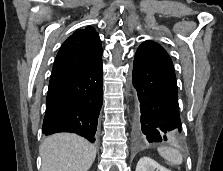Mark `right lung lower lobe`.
<instances>
[{
	"label": "right lung lower lobe",
	"instance_id": "1",
	"mask_svg": "<svg viewBox=\"0 0 223 171\" xmlns=\"http://www.w3.org/2000/svg\"><path fill=\"white\" fill-rule=\"evenodd\" d=\"M102 61L91 69L49 83L42 133H77L96 140L98 117L103 102Z\"/></svg>",
	"mask_w": 223,
	"mask_h": 171
}]
</instances>
